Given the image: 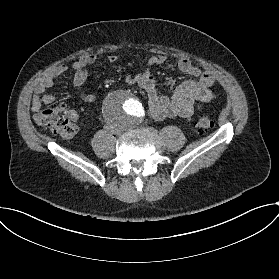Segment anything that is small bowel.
<instances>
[{"instance_id": "obj_1", "label": "small bowel", "mask_w": 279, "mask_h": 279, "mask_svg": "<svg viewBox=\"0 0 279 279\" xmlns=\"http://www.w3.org/2000/svg\"><path fill=\"white\" fill-rule=\"evenodd\" d=\"M95 61L96 55L87 53L80 56L72 65L74 71L73 87L79 96L88 102L94 101L96 96L86 92L83 85L88 77L87 67ZM108 61L112 64L116 63L118 61L117 55H109ZM165 62L166 56L158 54L149 58L148 65L150 67L160 66ZM177 69L186 74L188 78L177 86L170 98L163 97L158 93L154 76L149 70L141 73L125 74V81L128 84H137L146 91L149 113L156 120L188 118L196 109H201L202 103L209 102L217 96L211 90L215 82L214 77L210 73L202 71L198 63L188 58H180L177 61ZM68 70L67 65L59 64L40 79L35 87V94L31 102L33 113H38L43 106L50 105L55 101V97L48 90ZM71 117L74 122L78 120V114L75 111H71Z\"/></svg>"}]
</instances>
